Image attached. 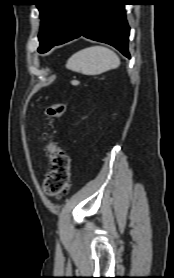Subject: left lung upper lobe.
Returning a JSON list of instances; mask_svg holds the SVG:
<instances>
[{"label": "left lung upper lobe", "instance_id": "5c2ea615", "mask_svg": "<svg viewBox=\"0 0 174 278\" xmlns=\"http://www.w3.org/2000/svg\"><path fill=\"white\" fill-rule=\"evenodd\" d=\"M77 0H38L41 21L38 52L45 53L60 39Z\"/></svg>", "mask_w": 174, "mask_h": 278}]
</instances>
